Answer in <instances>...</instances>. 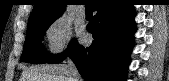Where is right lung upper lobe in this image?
Listing matches in <instances>:
<instances>
[{
    "label": "right lung upper lobe",
    "mask_w": 169,
    "mask_h": 81,
    "mask_svg": "<svg viewBox=\"0 0 169 81\" xmlns=\"http://www.w3.org/2000/svg\"><path fill=\"white\" fill-rule=\"evenodd\" d=\"M34 8L29 17L28 25L43 21L56 19L62 15L68 0H34Z\"/></svg>",
    "instance_id": "1"
}]
</instances>
